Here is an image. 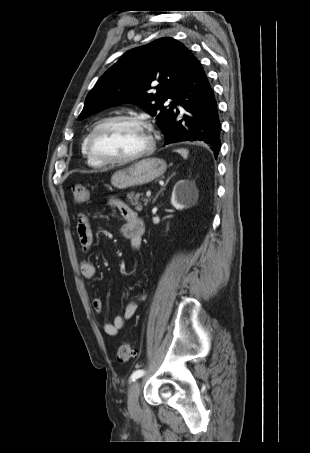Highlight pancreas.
<instances>
[{"instance_id": "1", "label": "pancreas", "mask_w": 310, "mask_h": 453, "mask_svg": "<svg viewBox=\"0 0 310 453\" xmlns=\"http://www.w3.org/2000/svg\"><path fill=\"white\" fill-rule=\"evenodd\" d=\"M140 197H141V199H140ZM127 198H128V201L131 203V205L135 206V209L137 211H141L143 208L142 203L139 201V199L144 202V206H146L147 203L149 202V200L147 198H143L142 193L135 194L134 192H131V193L127 194Z\"/></svg>"}]
</instances>
